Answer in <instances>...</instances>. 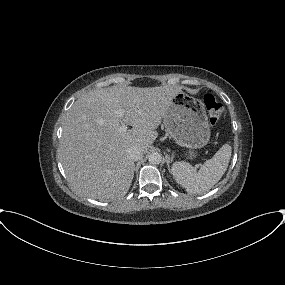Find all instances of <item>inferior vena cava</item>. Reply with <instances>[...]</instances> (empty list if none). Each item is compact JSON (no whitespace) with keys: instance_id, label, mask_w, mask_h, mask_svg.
I'll return each mask as SVG.
<instances>
[{"instance_id":"obj_1","label":"inferior vena cava","mask_w":285,"mask_h":285,"mask_svg":"<svg viewBox=\"0 0 285 285\" xmlns=\"http://www.w3.org/2000/svg\"><path fill=\"white\" fill-rule=\"evenodd\" d=\"M127 154H128V157L133 161H137L143 157L142 149L137 146L130 147L127 150Z\"/></svg>"}]
</instances>
